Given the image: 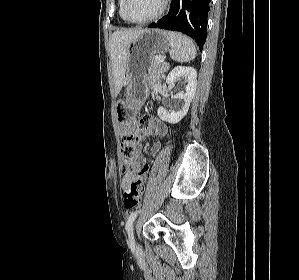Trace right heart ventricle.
<instances>
[{
	"mask_svg": "<svg viewBox=\"0 0 299 280\" xmlns=\"http://www.w3.org/2000/svg\"><path fill=\"white\" fill-rule=\"evenodd\" d=\"M119 14H120V17L121 19L124 21V22H128L124 16V13H123V0H120V3H119Z\"/></svg>",
	"mask_w": 299,
	"mask_h": 280,
	"instance_id": "right-heart-ventricle-1",
	"label": "right heart ventricle"
}]
</instances>
